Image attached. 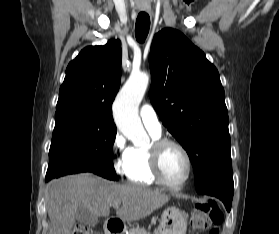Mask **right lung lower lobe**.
<instances>
[{"instance_id": "98d812e1", "label": "right lung lower lobe", "mask_w": 279, "mask_h": 234, "mask_svg": "<svg viewBox=\"0 0 279 234\" xmlns=\"http://www.w3.org/2000/svg\"><path fill=\"white\" fill-rule=\"evenodd\" d=\"M79 172H86L85 170V167H82V166H75V167H69V168H66L64 170L61 171V173L63 175H66V174H72V173H79ZM61 175V176H63ZM60 177V176H59ZM56 178V177H54ZM53 178H49V179H46V181H50L52 180Z\"/></svg>"}]
</instances>
